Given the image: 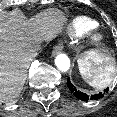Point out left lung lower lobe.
I'll return each mask as SVG.
<instances>
[{
  "mask_svg": "<svg viewBox=\"0 0 117 117\" xmlns=\"http://www.w3.org/2000/svg\"><path fill=\"white\" fill-rule=\"evenodd\" d=\"M67 86L68 88L70 89V91L78 98V99H81L83 101H88V100H98L100 98H102L109 90V88H106L104 90L103 93H98V94H94V95H91V96H88L87 94L85 93H82L80 91H78L75 86L71 83V81L67 80Z\"/></svg>",
  "mask_w": 117,
  "mask_h": 117,
  "instance_id": "0a47b994",
  "label": "left lung lower lobe"
}]
</instances>
